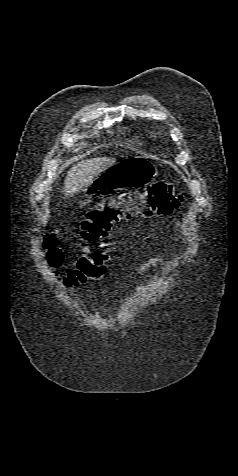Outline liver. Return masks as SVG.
Segmentation results:
<instances>
[{
	"instance_id": "1",
	"label": "liver",
	"mask_w": 238,
	"mask_h": 476,
	"mask_svg": "<svg viewBox=\"0 0 238 476\" xmlns=\"http://www.w3.org/2000/svg\"><path fill=\"white\" fill-rule=\"evenodd\" d=\"M114 158H92L77 162L68 171L64 181V193L73 196L90 184L95 177L115 163Z\"/></svg>"
}]
</instances>
